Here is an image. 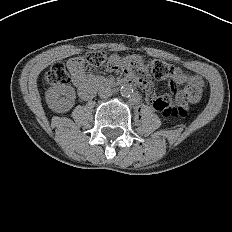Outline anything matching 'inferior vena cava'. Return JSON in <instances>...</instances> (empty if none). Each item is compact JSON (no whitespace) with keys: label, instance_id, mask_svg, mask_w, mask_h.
I'll return each mask as SVG.
<instances>
[{"label":"inferior vena cava","instance_id":"1","mask_svg":"<svg viewBox=\"0 0 232 232\" xmlns=\"http://www.w3.org/2000/svg\"><path fill=\"white\" fill-rule=\"evenodd\" d=\"M113 94V91L110 87L101 86L98 90V95L100 98H108Z\"/></svg>","mask_w":232,"mask_h":232}]
</instances>
